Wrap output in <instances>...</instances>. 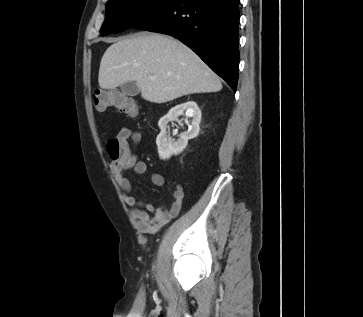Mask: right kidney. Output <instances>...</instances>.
<instances>
[{"instance_id":"obj_1","label":"right kidney","mask_w":363,"mask_h":317,"mask_svg":"<svg viewBox=\"0 0 363 317\" xmlns=\"http://www.w3.org/2000/svg\"><path fill=\"white\" fill-rule=\"evenodd\" d=\"M181 115L191 117L192 122L189 125L188 130L183 132L180 138L175 141L167 134L166 127L168 122L178 120V117ZM200 121L201 111L194 101H188L171 108L168 114L162 117L158 122L161 131L157 136L156 144L160 159L165 160L169 159L172 155L180 154L186 148L188 140L198 136Z\"/></svg>"}]
</instances>
